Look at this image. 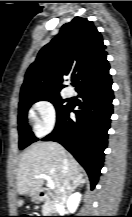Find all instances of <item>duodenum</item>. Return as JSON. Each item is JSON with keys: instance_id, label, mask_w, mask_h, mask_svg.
<instances>
[{"instance_id": "1", "label": "duodenum", "mask_w": 132, "mask_h": 217, "mask_svg": "<svg viewBox=\"0 0 132 217\" xmlns=\"http://www.w3.org/2000/svg\"><path fill=\"white\" fill-rule=\"evenodd\" d=\"M38 198L41 201H49V200H51L53 198V196H52V194L48 190H41L38 193Z\"/></svg>"}]
</instances>
